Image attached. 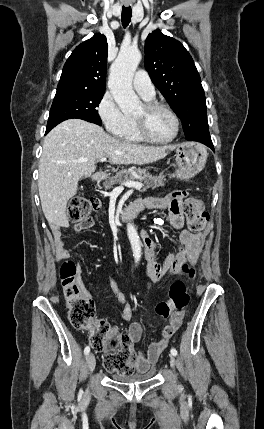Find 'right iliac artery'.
I'll return each instance as SVG.
<instances>
[{"mask_svg": "<svg viewBox=\"0 0 264 429\" xmlns=\"http://www.w3.org/2000/svg\"><path fill=\"white\" fill-rule=\"evenodd\" d=\"M89 352H90V347L86 346L85 349H84V354L88 355Z\"/></svg>", "mask_w": 264, "mask_h": 429, "instance_id": "right-iliac-artery-1", "label": "right iliac artery"}]
</instances>
